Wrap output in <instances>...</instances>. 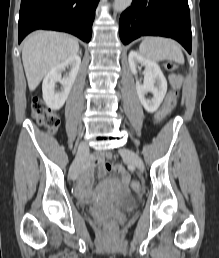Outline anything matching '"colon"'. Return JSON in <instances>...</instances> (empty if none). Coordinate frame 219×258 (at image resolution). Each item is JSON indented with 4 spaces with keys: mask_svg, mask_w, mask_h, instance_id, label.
Here are the masks:
<instances>
[{
    "mask_svg": "<svg viewBox=\"0 0 219 258\" xmlns=\"http://www.w3.org/2000/svg\"><path fill=\"white\" fill-rule=\"evenodd\" d=\"M165 68L170 71L174 72L177 70V64L174 62H166ZM176 101V94L174 91H170L161 105L159 110L155 114L154 121L156 124H160L164 121L168 113L172 110L175 105ZM31 111L33 116L36 118L38 123L45 128H47L50 132L57 131L60 125V118L59 116L49 110L45 105L44 101L39 97H34L31 102ZM130 187L135 193H139L141 190V185L138 181H131ZM117 223L115 220L110 219L106 222L105 229L109 234H115L117 231Z\"/></svg>",
    "mask_w": 219,
    "mask_h": 258,
    "instance_id": "1",
    "label": "colon"
}]
</instances>
